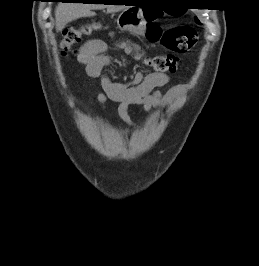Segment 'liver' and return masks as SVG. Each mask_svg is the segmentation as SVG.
<instances>
[{
  "mask_svg": "<svg viewBox=\"0 0 259 266\" xmlns=\"http://www.w3.org/2000/svg\"><path fill=\"white\" fill-rule=\"evenodd\" d=\"M102 4L63 3L55 10L56 30L61 31L69 22L81 17H91L95 13L92 10L102 8ZM123 7H108L109 12L122 10Z\"/></svg>",
  "mask_w": 259,
  "mask_h": 266,
  "instance_id": "6515ba94",
  "label": "liver"
}]
</instances>
